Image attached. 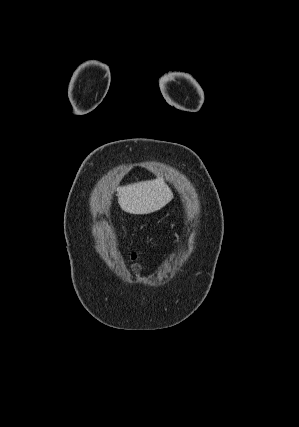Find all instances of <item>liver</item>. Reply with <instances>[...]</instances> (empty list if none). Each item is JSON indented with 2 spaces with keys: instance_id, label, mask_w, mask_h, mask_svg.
<instances>
[{
  "instance_id": "liver-1",
  "label": "liver",
  "mask_w": 299,
  "mask_h": 427,
  "mask_svg": "<svg viewBox=\"0 0 299 427\" xmlns=\"http://www.w3.org/2000/svg\"><path fill=\"white\" fill-rule=\"evenodd\" d=\"M122 210L134 215L150 214L168 204L173 193L162 178L142 181L117 188Z\"/></svg>"
}]
</instances>
